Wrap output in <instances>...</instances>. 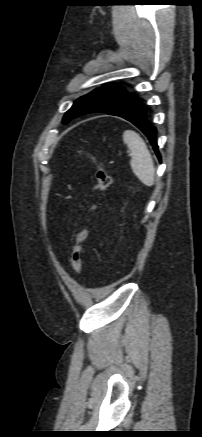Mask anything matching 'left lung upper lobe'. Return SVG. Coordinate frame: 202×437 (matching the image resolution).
I'll use <instances>...</instances> for the list:
<instances>
[{"instance_id": "obj_1", "label": "left lung upper lobe", "mask_w": 202, "mask_h": 437, "mask_svg": "<svg viewBox=\"0 0 202 437\" xmlns=\"http://www.w3.org/2000/svg\"><path fill=\"white\" fill-rule=\"evenodd\" d=\"M135 100L117 83H108L78 98L63 117V123L87 113L108 112Z\"/></svg>"}]
</instances>
